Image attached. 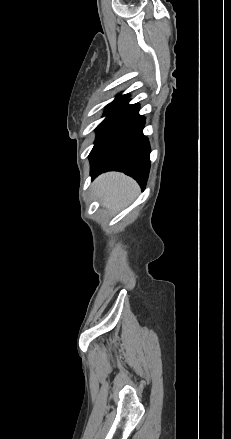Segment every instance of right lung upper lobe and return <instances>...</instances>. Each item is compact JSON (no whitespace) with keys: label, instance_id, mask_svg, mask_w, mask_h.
<instances>
[{"label":"right lung upper lobe","instance_id":"1","mask_svg":"<svg viewBox=\"0 0 231 439\" xmlns=\"http://www.w3.org/2000/svg\"><path fill=\"white\" fill-rule=\"evenodd\" d=\"M119 98H127V95H120L116 99H119Z\"/></svg>","mask_w":231,"mask_h":439}]
</instances>
